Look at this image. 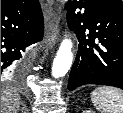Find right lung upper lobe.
I'll use <instances>...</instances> for the list:
<instances>
[{
	"label": "right lung upper lobe",
	"instance_id": "right-lung-upper-lobe-1",
	"mask_svg": "<svg viewBox=\"0 0 123 113\" xmlns=\"http://www.w3.org/2000/svg\"><path fill=\"white\" fill-rule=\"evenodd\" d=\"M10 0H1V5L9 2Z\"/></svg>",
	"mask_w": 123,
	"mask_h": 113
}]
</instances>
